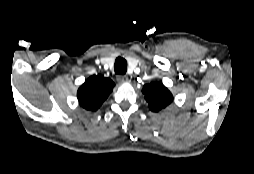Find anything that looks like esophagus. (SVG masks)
<instances>
[{"label":"esophagus","mask_w":254,"mask_h":174,"mask_svg":"<svg viewBox=\"0 0 254 174\" xmlns=\"http://www.w3.org/2000/svg\"><path fill=\"white\" fill-rule=\"evenodd\" d=\"M117 81L119 83H128L129 82V78L125 75H119L117 76Z\"/></svg>","instance_id":"1"}]
</instances>
